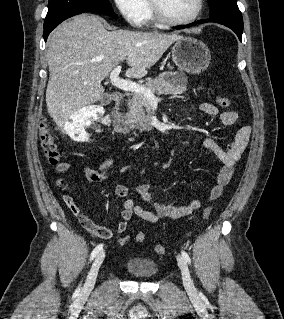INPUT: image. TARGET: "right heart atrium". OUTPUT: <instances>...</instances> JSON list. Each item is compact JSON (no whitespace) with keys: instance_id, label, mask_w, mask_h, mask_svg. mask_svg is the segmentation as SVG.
<instances>
[{"instance_id":"d8ad5b80","label":"right heart atrium","mask_w":284,"mask_h":319,"mask_svg":"<svg viewBox=\"0 0 284 319\" xmlns=\"http://www.w3.org/2000/svg\"><path fill=\"white\" fill-rule=\"evenodd\" d=\"M122 18L131 26L139 27L144 23L148 11L147 0H113Z\"/></svg>"}]
</instances>
